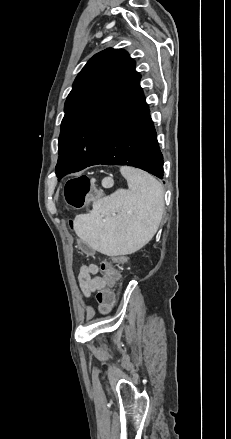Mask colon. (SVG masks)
I'll use <instances>...</instances> for the list:
<instances>
[{"instance_id":"5ec220e1","label":"colon","mask_w":231,"mask_h":439,"mask_svg":"<svg viewBox=\"0 0 231 439\" xmlns=\"http://www.w3.org/2000/svg\"><path fill=\"white\" fill-rule=\"evenodd\" d=\"M66 203L74 208L79 209L83 207L86 200L92 196V186L90 178L82 175L67 181L64 190ZM73 227V223H71ZM81 249L88 255L89 259L97 258V251L93 250L88 244L81 242ZM127 257L125 255H118L113 262L103 261L100 264V269L103 273V279L107 285L99 288V293L95 295V300L98 302L100 315L106 317L111 316L113 306L117 300V295L113 292L119 282L118 272L114 264L125 263Z\"/></svg>"}]
</instances>
